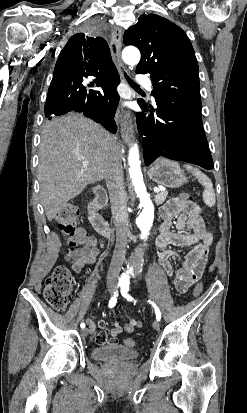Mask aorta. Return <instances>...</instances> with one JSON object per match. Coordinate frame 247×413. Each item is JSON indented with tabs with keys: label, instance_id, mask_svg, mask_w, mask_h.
<instances>
[{
	"label": "aorta",
	"instance_id": "aorta-1",
	"mask_svg": "<svg viewBox=\"0 0 247 413\" xmlns=\"http://www.w3.org/2000/svg\"><path fill=\"white\" fill-rule=\"evenodd\" d=\"M122 58L126 64L134 66L140 61V52L136 47L128 46L124 48ZM128 164L129 175L142 208L136 223L142 231V236L145 237L150 231L154 220V205L143 181L137 144H134L129 150Z\"/></svg>",
	"mask_w": 247,
	"mask_h": 413
}]
</instances>
